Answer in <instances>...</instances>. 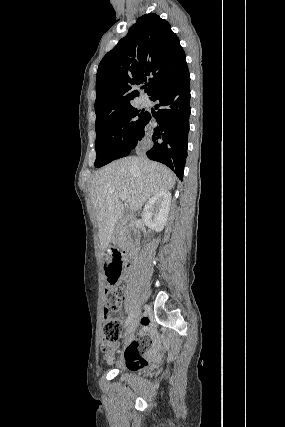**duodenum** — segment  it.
<instances>
[{"mask_svg":"<svg viewBox=\"0 0 285 427\" xmlns=\"http://www.w3.org/2000/svg\"><path fill=\"white\" fill-rule=\"evenodd\" d=\"M116 227L123 231L124 247L122 249V255L125 260L129 261L135 253V239L132 235L135 221L129 219L119 221L116 223ZM115 253L118 254L119 250H116Z\"/></svg>","mask_w":285,"mask_h":427,"instance_id":"1","label":"duodenum"}]
</instances>
